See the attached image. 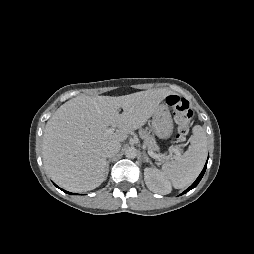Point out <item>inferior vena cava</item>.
I'll use <instances>...</instances> for the list:
<instances>
[{"mask_svg":"<svg viewBox=\"0 0 254 254\" xmlns=\"http://www.w3.org/2000/svg\"><path fill=\"white\" fill-rule=\"evenodd\" d=\"M121 144L118 141H112L110 142L106 148H105V156L107 158L113 157L115 154H117L120 151Z\"/></svg>","mask_w":254,"mask_h":254,"instance_id":"inferior-vena-cava-1","label":"inferior vena cava"}]
</instances>
